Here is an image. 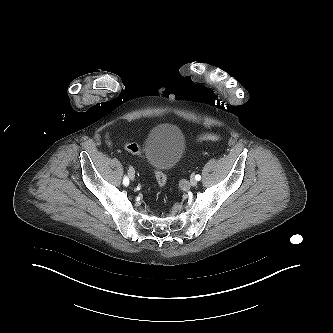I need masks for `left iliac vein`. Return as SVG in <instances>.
Returning a JSON list of instances; mask_svg holds the SVG:
<instances>
[{
  "label": "left iliac vein",
  "mask_w": 333,
  "mask_h": 333,
  "mask_svg": "<svg viewBox=\"0 0 333 333\" xmlns=\"http://www.w3.org/2000/svg\"><path fill=\"white\" fill-rule=\"evenodd\" d=\"M190 184H191V186L197 185V180L194 175H191V177H190Z\"/></svg>",
  "instance_id": "1"
}]
</instances>
